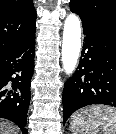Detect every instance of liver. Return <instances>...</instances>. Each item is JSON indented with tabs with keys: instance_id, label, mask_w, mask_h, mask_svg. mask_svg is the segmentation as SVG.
<instances>
[{
	"instance_id": "obj_1",
	"label": "liver",
	"mask_w": 116,
	"mask_h": 134,
	"mask_svg": "<svg viewBox=\"0 0 116 134\" xmlns=\"http://www.w3.org/2000/svg\"><path fill=\"white\" fill-rule=\"evenodd\" d=\"M0 134H18V128L8 122L0 121Z\"/></svg>"
}]
</instances>
